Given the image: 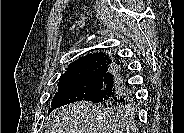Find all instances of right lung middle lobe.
Instances as JSON below:
<instances>
[{
    "mask_svg": "<svg viewBox=\"0 0 184 133\" xmlns=\"http://www.w3.org/2000/svg\"><path fill=\"white\" fill-rule=\"evenodd\" d=\"M103 87V74L60 79L58 82V91L52 100L49 112L75 101H92ZM96 107L112 116H129L133 111V103L123 105L103 103L97 104Z\"/></svg>",
    "mask_w": 184,
    "mask_h": 133,
    "instance_id": "1",
    "label": "right lung middle lobe"
}]
</instances>
